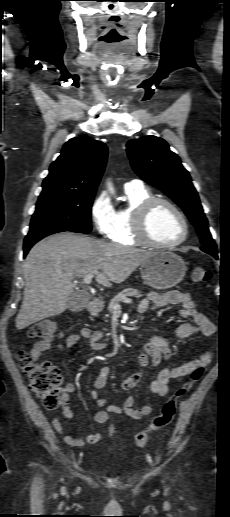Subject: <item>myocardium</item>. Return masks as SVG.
Wrapping results in <instances>:
<instances>
[{
    "label": "myocardium",
    "instance_id": "f54148a6",
    "mask_svg": "<svg viewBox=\"0 0 230 517\" xmlns=\"http://www.w3.org/2000/svg\"><path fill=\"white\" fill-rule=\"evenodd\" d=\"M164 204L170 207L180 218L183 224V234L182 236L170 243H161L154 240L149 232L148 221L149 217L153 211V209L159 205ZM134 232L138 241L147 246L155 247V248H163L170 249L177 247L184 243L189 236V222L184 214V212L180 209V207L175 204L173 201L163 198V197H151L145 200L136 210L134 216Z\"/></svg>",
    "mask_w": 230,
    "mask_h": 517
}]
</instances>
